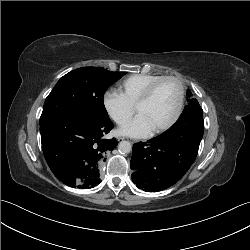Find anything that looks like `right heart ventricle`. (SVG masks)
Masks as SVG:
<instances>
[{
  "label": "right heart ventricle",
  "instance_id": "1",
  "mask_svg": "<svg viewBox=\"0 0 250 250\" xmlns=\"http://www.w3.org/2000/svg\"><path fill=\"white\" fill-rule=\"evenodd\" d=\"M164 77L156 74H135L123 79L120 84V92L133 106L144 91L155 81Z\"/></svg>",
  "mask_w": 250,
  "mask_h": 250
}]
</instances>
